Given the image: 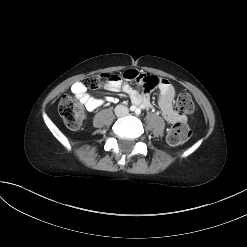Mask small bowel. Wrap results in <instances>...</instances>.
Segmentation results:
<instances>
[{
  "instance_id": "1",
  "label": "small bowel",
  "mask_w": 247,
  "mask_h": 247,
  "mask_svg": "<svg viewBox=\"0 0 247 247\" xmlns=\"http://www.w3.org/2000/svg\"><path fill=\"white\" fill-rule=\"evenodd\" d=\"M143 75V76H142ZM152 77L156 80V85L151 87L145 78ZM139 83L143 87V91L140 92L133 88L129 84ZM104 87L112 92H123L130 98L131 102L135 105H139L142 108L150 106V91L157 87L159 91V107L164 119L169 124H176L181 120V117L173 109V100L175 97L174 86L166 79L158 78L149 74H141L136 70L124 69L122 73H111L104 80ZM71 92L73 95L82 102L88 111H94L101 107L105 102H115L114 97H106L104 99L90 95L87 92L86 87L82 82H75L71 86Z\"/></svg>"
}]
</instances>
